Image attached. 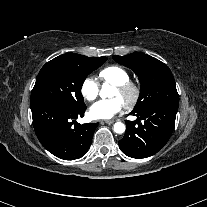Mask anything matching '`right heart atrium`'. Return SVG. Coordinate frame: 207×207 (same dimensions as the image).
<instances>
[{
    "label": "right heart atrium",
    "mask_w": 207,
    "mask_h": 207,
    "mask_svg": "<svg viewBox=\"0 0 207 207\" xmlns=\"http://www.w3.org/2000/svg\"><path fill=\"white\" fill-rule=\"evenodd\" d=\"M99 93V84L95 77L88 76L86 77L81 84V94L88 100H94Z\"/></svg>",
    "instance_id": "right-heart-atrium-1"
}]
</instances>
